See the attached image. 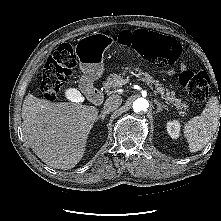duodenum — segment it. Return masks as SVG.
I'll list each match as a JSON object with an SVG mask.
<instances>
[{
    "instance_id": "obj_1",
    "label": "duodenum",
    "mask_w": 221,
    "mask_h": 221,
    "mask_svg": "<svg viewBox=\"0 0 221 221\" xmlns=\"http://www.w3.org/2000/svg\"><path fill=\"white\" fill-rule=\"evenodd\" d=\"M84 91L91 102L100 103L103 99V93L99 88L91 86Z\"/></svg>"
}]
</instances>
